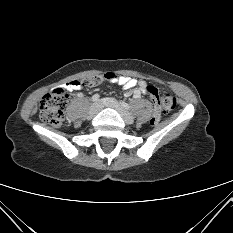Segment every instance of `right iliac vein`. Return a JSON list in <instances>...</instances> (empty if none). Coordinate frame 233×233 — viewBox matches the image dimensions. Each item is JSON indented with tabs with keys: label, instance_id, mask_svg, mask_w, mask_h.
I'll list each match as a JSON object with an SVG mask.
<instances>
[{
	"label": "right iliac vein",
	"instance_id": "right-iliac-vein-1",
	"mask_svg": "<svg viewBox=\"0 0 233 233\" xmlns=\"http://www.w3.org/2000/svg\"><path fill=\"white\" fill-rule=\"evenodd\" d=\"M101 108L102 106L99 102L93 103L89 109V116L90 117L96 116L100 112Z\"/></svg>",
	"mask_w": 233,
	"mask_h": 233
}]
</instances>
